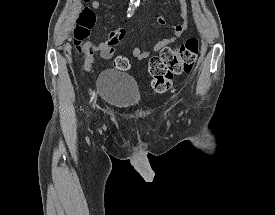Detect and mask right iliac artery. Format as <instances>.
<instances>
[{"label": "right iliac artery", "mask_w": 275, "mask_h": 215, "mask_svg": "<svg viewBox=\"0 0 275 215\" xmlns=\"http://www.w3.org/2000/svg\"><path fill=\"white\" fill-rule=\"evenodd\" d=\"M133 12H134V8H129V9H128L127 17L130 18V17L132 16Z\"/></svg>", "instance_id": "1"}]
</instances>
